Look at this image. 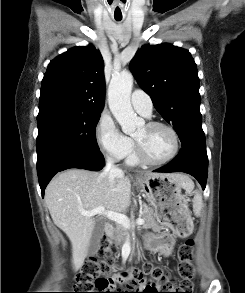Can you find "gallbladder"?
I'll list each match as a JSON object with an SVG mask.
<instances>
[{
  "label": "gallbladder",
  "mask_w": 245,
  "mask_h": 293,
  "mask_svg": "<svg viewBox=\"0 0 245 293\" xmlns=\"http://www.w3.org/2000/svg\"><path fill=\"white\" fill-rule=\"evenodd\" d=\"M103 236H104V223L100 221H96L95 227L91 235L90 244L88 247L89 257L97 254L99 249V244Z\"/></svg>",
  "instance_id": "obj_1"
}]
</instances>
